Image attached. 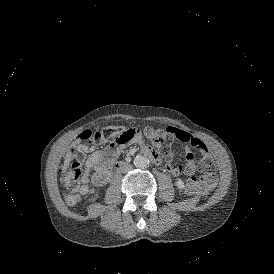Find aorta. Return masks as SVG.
I'll list each match as a JSON object with an SVG mask.
<instances>
[{"label": "aorta", "mask_w": 274, "mask_h": 274, "mask_svg": "<svg viewBox=\"0 0 274 274\" xmlns=\"http://www.w3.org/2000/svg\"><path fill=\"white\" fill-rule=\"evenodd\" d=\"M134 165H135V167L140 168V169L147 168L149 166V159L142 155L137 156L134 159Z\"/></svg>", "instance_id": "aorta-1"}]
</instances>
